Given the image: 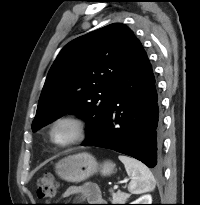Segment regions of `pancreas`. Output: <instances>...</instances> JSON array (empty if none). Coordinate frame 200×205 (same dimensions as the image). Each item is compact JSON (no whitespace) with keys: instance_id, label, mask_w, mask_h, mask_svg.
Here are the masks:
<instances>
[{"instance_id":"cf45deb5","label":"pancreas","mask_w":200,"mask_h":205,"mask_svg":"<svg viewBox=\"0 0 200 205\" xmlns=\"http://www.w3.org/2000/svg\"><path fill=\"white\" fill-rule=\"evenodd\" d=\"M112 195V202L114 204H124L125 201L130 197V194H127L125 192L118 191L117 193H114L113 191H110Z\"/></svg>"}]
</instances>
